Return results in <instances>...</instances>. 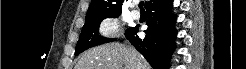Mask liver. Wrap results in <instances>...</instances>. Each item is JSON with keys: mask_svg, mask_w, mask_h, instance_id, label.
Wrapping results in <instances>:
<instances>
[{"mask_svg": "<svg viewBox=\"0 0 246 69\" xmlns=\"http://www.w3.org/2000/svg\"><path fill=\"white\" fill-rule=\"evenodd\" d=\"M75 69H150L148 62L132 47L109 43L86 51Z\"/></svg>", "mask_w": 246, "mask_h": 69, "instance_id": "6515ba94", "label": "liver"}]
</instances>
